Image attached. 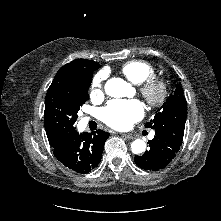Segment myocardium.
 <instances>
[{
    "label": "myocardium",
    "instance_id": "1",
    "mask_svg": "<svg viewBox=\"0 0 221 221\" xmlns=\"http://www.w3.org/2000/svg\"><path fill=\"white\" fill-rule=\"evenodd\" d=\"M169 83L162 77H151L140 84V93L152 108L161 107L168 99Z\"/></svg>",
    "mask_w": 221,
    "mask_h": 221
}]
</instances>
